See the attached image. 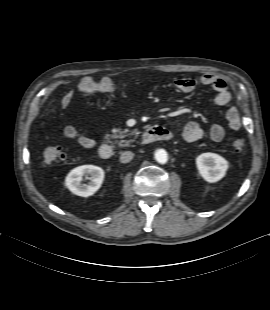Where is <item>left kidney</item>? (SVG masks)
I'll return each instance as SVG.
<instances>
[{"instance_id": "1", "label": "left kidney", "mask_w": 270, "mask_h": 310, "mask_svg": "<svg viewBox=\"0 0 270 310\" xmlns=\"http://www.w3.org/2000/svg\"><path fill=\"white\" fill-rule=\"evenodd\" d=\"M196 166L205 181L215 183L225 176L229 163L222 156L207 152L200 154L196 158Z\"/></svg>"}]
</instances>
